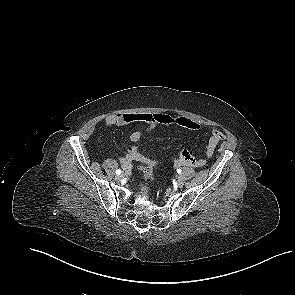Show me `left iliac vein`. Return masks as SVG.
I'll return each mask as SVG.
<instances>
[{"instance_id": "obj_1", "label": "left iliac vein", "mask_w": 295, "mask_h": 295, "mask_svg": "<svg viewBox=\"0 0 295 295\" xmlns=\"http://www.w3.org/2000/svg\"><path fill=\"white\" fill-rule=\"evenodd\" d=\"M176 184L178 187H183L184 180L181 177H178Z\"/></svg>"}]
</instances>
